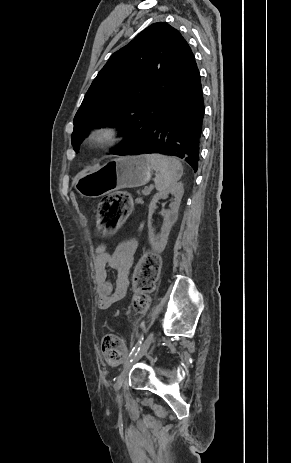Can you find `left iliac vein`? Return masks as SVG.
<instances>
[{"label":"left iliac vein","mask_w":291,"mask_h":463,"mask_svg":"<svg viewBox=\"0 0 291 463\" xmlns=\"http://www.w3.org/2000/svg\"><path fill=\"white\" fill-rule=\"evenodd\" d=\"M153 338H154V332H150L149 335L147 336L146 340L144 341V343L142 344V346L140 347L139 351L137 352V354L133 357V360L132 362H129L127 363L122 371L120 372L119 376H118V379L115 383V389L116 391H119L120 388L122 387L132 365L137 362L146 352L147 350L149 349L150 347V344L152 343L153 341ZM117 399L120 400V395L118 394L117 396Z\"/></svg>","instance_id":"left-iliac-vein-1"}]
</instances>
